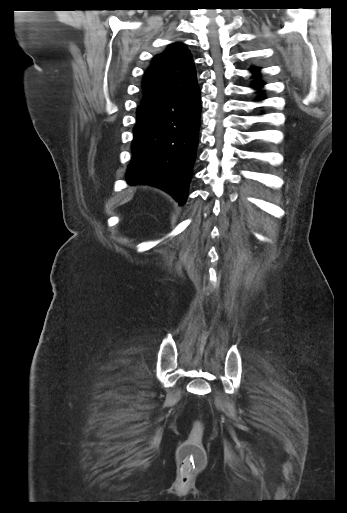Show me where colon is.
<instances>
[{
	"mask_svg": "<svg viewBox=\"0 0 347 513\" xmlns=\"http://www.w3.org/2000/svg\"><path fill=\"white\" fill-rule=\"evenodd\" d=\"M202 436V425L198 422L194 423L189 438L184 442L180 450V464L186 472L201 469L205 464Z\"/></svg>",
	"mask_w": 347,
	"mask_h": 513,
	"instance_id": "1",
	"label": "colon"
}]
</instances>
